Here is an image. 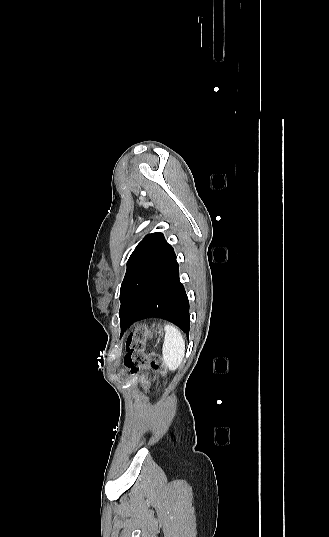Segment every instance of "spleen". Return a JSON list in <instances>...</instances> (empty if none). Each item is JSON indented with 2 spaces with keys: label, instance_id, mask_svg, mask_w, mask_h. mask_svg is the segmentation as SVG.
Listing matches in <instances>:
<instances>
[{
  "label": "spleen",
  "instance_id": "spleen-1",
  "mask_svg": "<svg viewBox=\"0 0 329 537\" xmlns=\"http://www.w3.org/2000/svg\"><path fill=\"white\" fill-rule=\"evenodd\" d=\"M162 354L165 365L172 371L179 367L185 355L183 336L176 327L170 324L165 326Z\"/></svg>",
  "mask_w": 329,
  "mask_h": 537
}]
</instances>
